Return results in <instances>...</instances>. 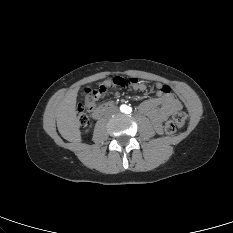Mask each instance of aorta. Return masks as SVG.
I'll return each mask as SVG.
<instances>
[{"label":"aorta","instance_id":"aorta-1","mask_svg":"<svg viewBox=\"0 0 233 233\" xmlns=\"http://www.w3.org/2000/svg\"><path fill=\"white\" fill-rule=\"evenodd\" d=\"M121 111L124 113H128L130 111V107L126 105L121 106Z\"/></svg>","mask_w":233,"mask_h":233}]
</instances>
